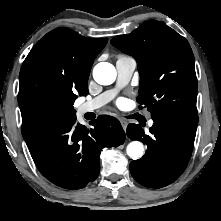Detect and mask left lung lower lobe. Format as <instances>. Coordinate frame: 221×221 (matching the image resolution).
<instances>
[{
    "label": "left lung lower lobe",
    "mask_w": 221,
    "mask_h": 221,
    "mask_svg": "<svg viewBox=\"0 0 221 221\" xmlns=\"http://www.w3.org/2000/svg\"><path fill=\"white\" fill-rule=\"evenodd\" d=\"M154 124L146 134L139 124H129L127 136L147 144L145 155L130 163L133 178L149 188L174 182L190 160L197 124L154 114Z\"/></svg>",
    "instance_id": "1"
}]
</instances>
